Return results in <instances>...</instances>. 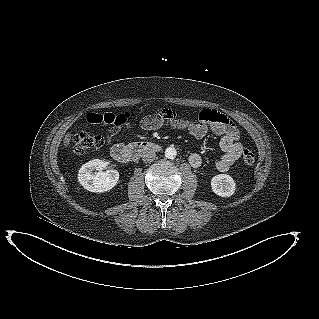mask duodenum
Instances as JSON below:
<instances>
[{
  "instance_id": "obj_1",
  "label": "duodenum",
  "mask_w": 319,
  "mask_h": 319,
  "mask_svg": "<svg viewBox=\"0 0 319 319\" xmlns=\"http://www.w3.org/2000/svg\"><path fill=\"white\" fill-rule=\"evenodd\" d=\"M159 146L150 141H138L129 145L117 144L111 148L112 158L120 164H128L139 159L144 153L156 151Z\"/></svg>"
}]
</instances>
